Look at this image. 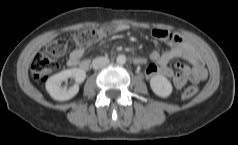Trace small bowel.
<instances>
[{
  "mask_svg": "<svg viewBox=\"0 0 238 145\" xmlns=\"http://www.w3.org/2000/svg\"><path fill=\"white\" fill-rule=\"evenodd\" d=\"M129 29V26L124 23L117 24L112 32L119 33ZM152 35L159 39L168 42L171 48L159 53L157 51L151 52L149 58L151 63L146 67L145 73L148 78L155 76H164L172 79L173 85L180 89L190 81L192 83H199L207 77V70L204 66L203 60L200 54L180 35L168 32L162 29H154ZM84 49L75 48L69 54L67 65L71 68H80L84 71L90 67V61L83 59ZM176 58H181L189 62L192 67L188 68L182 63L176 64L177 69L180 72L174 73L169 67L171 61ZM139 64H145L147 59L144 57H138Z\"/></svg>",
  "mask_w": 238,
  "mask_h": 145,
  "instance_id": "small-bowel-1",
  "label": "small bowel"
}]
</instances>
